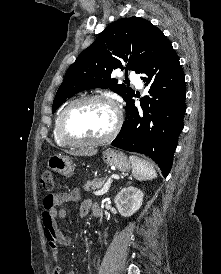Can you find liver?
<instances>
[{
  "mask_svg": "<svg viewBox=\"0 0 221 274\" xmlns=\"http://www.w3.org/2000/svg\"><path fill=\"white\" fill-rule=\"evenodd\" d=\"M68 153L75 155V156H93L97 153V150L94 148H87L78 151H69Z\"/></svg>",
  "mask_w": 221,
  "mask_h": 274,
  "instance_id": "1",
  "label": "liver"
}]
</instances>
